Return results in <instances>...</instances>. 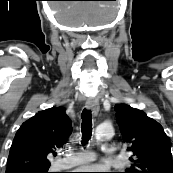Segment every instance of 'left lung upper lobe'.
Here are the masks:
<instances>
[{"label":"left lung upper lobe","instance_id":"obj_1","mask_svg":"<svg viewBox=\"0 0 173 173\" xmlns=\"http://www.w3.org/2000/svg\"><path fill=\"white\" fill-rule=\"evenodd\" d=\"M114 109L127 151L132 152V165L125 173H173L171 145L163 127L129 105L117 104Z\"/></svg>","mask_w":173,"mask_h":173}]
</instances>
